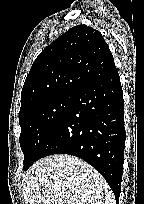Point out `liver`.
Listing matches in <instances>:
<instances>
[{
  "instance_id": "6515ba94",
  "label": "liver",
  "mask_w": 144,
  "mask_h": 204,
  "mask_svg": "<svg viewBox=\"0 0 144 204\" xmlns=\"http://www.w3.org/2000/svg\"><path fill=\"white\" fill-rule=\"evenodd\" d=\"M22 186L25 204H114L102 175L70 155L37 161L23 177Z\"/></svg>"
}]
</instances>
